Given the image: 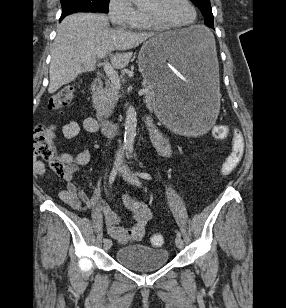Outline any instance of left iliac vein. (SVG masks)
Returning <instances> with one entry per match:
<instances>
[{
  "instance_id": "1",
  "label": "left iliac vein",
  "mask_w": 286,
  "mask_h": 308,
  "mask_svg": "<svg viewBox=\"0 0 286 308\" xmlns=\"http://www.w3.org/2000/svg\"><path fill=\"white\" fill-rule=\"evenodd\" d=\"M119 171L121 173V175L123 176V178L125 180H127L130 184H132L133 186L136 187H141L142 183L141 181L130 172V170L128 169L127 165L125 164V162L123 161L119 167ZM175 244L177 246L178 249H182L184 246V242L182 240L181 237H176L175 239Z\"/></svg>"
}]
</instances>
